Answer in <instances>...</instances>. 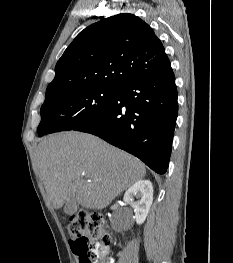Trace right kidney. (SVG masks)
I'll return each instance as SVG.
<instances>
[{
	"instance_id": "ca27d5eb",
	"label": "right kidney",
	"mask_w": 233,
	"mask_h": 263,
	"mask_svg": "<svg viewBox=\"0 0 233 263\" xmlns=\"http://www.w3.org/2000/svg\"><path fill=\"white\" fill-rule=\"evenodd\" d=\"M133 197H136V202ZM123 201L134 209L136 223L142 224L153 202L152 183L149 180L137 181L125 192Z\"/></svg>"
}]
</instances>
